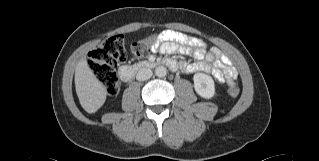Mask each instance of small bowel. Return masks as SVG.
Wrapping results in <instances>:
<instances>
[{
    "mask_svg": "<svg viewBox=\"0 0 319 161\" xmlns=\"http://www.w3.org/2000/svg\"><path fill=\"white\" fill-rule=\"evenodd\" d=\"M158 38L159 43L152 48L153 52L191 55L197 60L196 62L182 63L181 68L185 73H212L221 83L232 84L236 82L237 69L218 48L212 47L207 50L205 42L201 39L170 29L162 31Z\"/></svg>",
    "mask_w": 319,
    "mask_h": 161,
    "instance_id": "small-bowel-1",
    "label": "small bowel"
}]
</instances>
